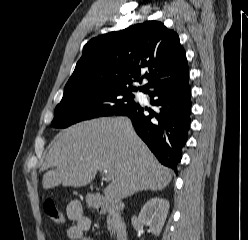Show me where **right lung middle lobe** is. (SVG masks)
Masks as SVG:
<instances>
[{"label":"right lung middle lobe","mask_w":248,"mask_h":240,"mask_svg":"<svg viewBox=\"0 0 248 240\" xmlns=\"http://www.w3.org/2000/svg\"><path fill=\"white\" fill-rule=\"evenodd\" d=\"M131 89H65L56 106L51 126L66 128L74 123L102 116H112L137 103Z\"/></svg>","instance_id":"dd1d6c3e"}]
</instances>
